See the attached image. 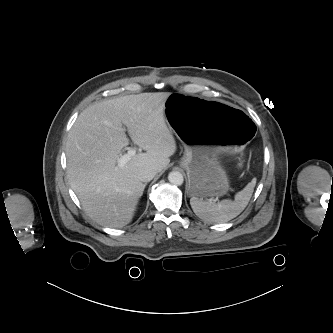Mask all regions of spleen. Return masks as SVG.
<instances>
[{
	"label": "spleen",
	"instance_id": "3e777b00",
	"mask_svg": "<svg viewBox=\"0 0 333 333\" xmlns=\"http://www.w3.org/2000/svg\"><path fill=\"white\" fill-rule=\"evenodd\" d=\"M253 179L235 195V200L225 199L221 202H208L197 197L190 199L194 213L205 222L224 223L238 216L247 206L255 187Z\"/></svg>",
	"mask_w": 333,
	"mask_h": 333
}]
</instances>
